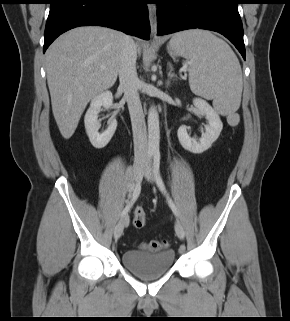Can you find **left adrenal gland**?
I'll return each mask as SVG.
<instances>
[{
  "instance_id": "1",
  "label": "left adrenal gland",
  "mask_w": 290,
  "mask_h": 321,
  "mask_svg": "<svg viewBox=\"0 0 290 321\" xmlns=\"http://www.w3.org/2000/svg\"><path fill=\"white\" fill-rule=\"evenodd\" d=\"M167 66H168L169 72H168V74H167V75H168V80H167V82H166V87H168V86L170 85L171 81H174V80L177 79V76L173 73V66H172V64H171V63H168Z\"/></svg>"
}]
</instances>
